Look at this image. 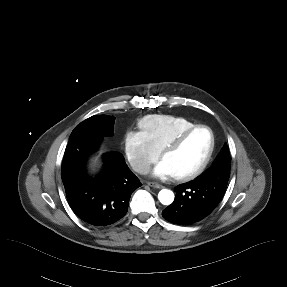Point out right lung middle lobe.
Returning <instances> with one entry per match:
<instances>
[{"label": "right lung middle lobe", "instance_id": "right-lung-middle-lobe-1", "mask_svg": "<svg viewBox=\"0 0 287 287\" xmlns=\"http://www.w3.org/2000/svg\"><path fill=\"white\" fill-rule=\"evenodd\" d=\"M114 116L96 115L80 123L71 133L70 138L84 134H95L101 137L111 136L114 131Z\"/></svg>", "mask_w": 287, "mask_h": 287}]
</instances>
